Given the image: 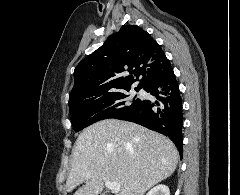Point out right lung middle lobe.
<instances>
[{
  "label": "right lung middle lobe",
  "instance_id": "1",
  "mask_svg": "<svg viewBox=\"0 0 240 195\" xmlns=\"http://www.w3.org/2000/svg\"><path fill=\"white\" fill-rule=\"evenodd\" d=\"M125 89L109 95L92 98H80L69 104L71 123L75 131H80L100 120L115 118L131 110L142 100L129 98ZM139 91V89H135Z\"/></svg>",
  "mask_w": 240,
  "mask_h": 195
}]
</instances>
